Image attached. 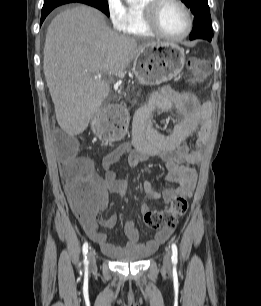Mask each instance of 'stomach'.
<instances>
[{
    "label": "stomach",
    "mask_w": 261,
    "mask_h": 306,
    "mask_svg": "<svg viewBox=\"0 0 261 306\" xmlns=\"http://www.w3.org/2000/svg\"><path fill=\"white\" fill-rule=\"evenodd\" d=\"M184 64V49L175 43L162 42L140 51L134 60V70L141 84L158 85L176 77ZM92 129L96 135H102L98 114L92 118Z\"/></svg>",
    "instance_id": "1"
}]
</instances>
